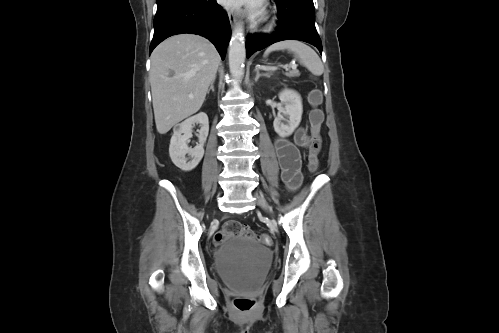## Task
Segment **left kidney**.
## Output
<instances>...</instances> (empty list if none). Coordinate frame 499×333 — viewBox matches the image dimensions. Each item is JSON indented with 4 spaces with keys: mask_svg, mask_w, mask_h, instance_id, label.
Masks as SVG:
<instances>
[{
    "mask_svg": "<svg viewBox=\"0 0 499 333\" xmlns=\"http://www.w3.org/2000/svg\"><path fill=\"white\" fill-rule=\"evenodd\" d=\"M279 99L284 105L280 113L275 117L273 127L281 137L290 136L299 126L303 113L300 95L291 89H284L279 93Z\"/></svg>",
    "mask_w": 499,
    "mask_h": 333,
    "instance_id": "5707ae66",
    "label": "left kidney"
}]
</instances>
